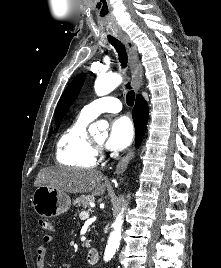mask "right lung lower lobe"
Returning a JSON list of instances; mask_svg holds the SVG:
<instances>
[{
  "label": "right lung lower lobe",
  "instance_id": "obj_1",
  "mask_svg": "<svg viewBox=\"0 0 221 268\" xmlns=\"http://www.w3.org/2000/svg\"><path fill=\"white\" fill-rule=\"evenodd\" d=\"M132 117L135 125L136 143L140 145L148 121V105L141 95H137Z\"/></svg>",
  "mask_w": 221,
  "mask_h": 268
}]
</instances>
